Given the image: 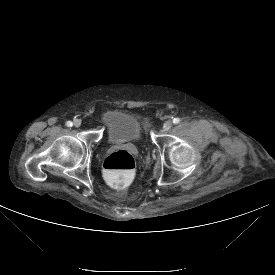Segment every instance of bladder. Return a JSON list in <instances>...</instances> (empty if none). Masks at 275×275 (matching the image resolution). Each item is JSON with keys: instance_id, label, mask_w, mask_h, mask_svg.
Masks as SVG:
<instances>
[{"instance_id": "obj_1", "label": "bladder", "mask_w": 275, "mask_h": 275, "mask_svg": "<svg viewBox=\"0 0 275 275\" xmlns=\"http://www.w3.org/2000/svg\"><path fill=\"white\" fill-rule=\"evenodd\" d=\"M107 137L114 143H132L141 135L143 121L129 110H111L105 114Z\"/></svg>"}]
</instances>
